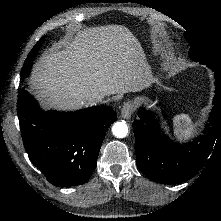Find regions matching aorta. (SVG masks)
<instances>
[{"label": "aorta", "instance_id": "1", "mask_svg": "<svg viewBox=\"0 0 221 221\" xmlns=\"http://www.w3.org/2000/svg\"><path fill=\"white\" fill-rule=\"evenodd\" d=\"M112 133L117 138H124L128 134V126L125 121L116 122L112 127Z\"/></svg>", "mask_w": 221, "mask_h": 221}]
</instances>
